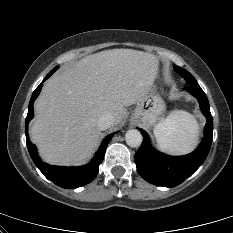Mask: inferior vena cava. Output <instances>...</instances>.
Segmentation results:
<instances>
[{"label":"inferior vena cava","mask_w":233,"mask_h":233,"mask_svg":"<svg viewBox=\"0 0 233 233\" xmlns=\"http://www.w3.org/2000/svg\"><path fill=\"white\" fill-rule=\"evenodd\" d=\"M114 124V116L106 112L97 120V126L100 130H106Z\"/></svg>","instance_id":"1"}]
</instances>
